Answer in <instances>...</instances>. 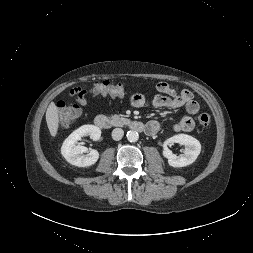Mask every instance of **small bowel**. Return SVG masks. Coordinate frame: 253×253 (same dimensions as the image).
I'll return each instance as SVG.
<instances>
[{"instance_id":"1","label":"small bowel","mask_w":253,"mask_h":253,"mask_svg":"<svg viewBox=\"0 0 253 253\" xmlns=\"http://www.w3.org/2000/svg\"><path fill=\"white\" fill-rule=\"evenodd\" d=\"M155 88L158 94L152 98H148L140 92L134 93L131 96L132 105L138 108L152 105L156 108L170 110L185 107L187 114L178 122H175L172 128L175 132H191L195 127L194 120L191 116L197 114L200 109L199 103L194 100L192 92L187 89L176 91L166 82H159ZM71 95L77 103L82 106L86 105L87 93L85 90L75 89L71 92ZM147 127V133L154 134L159 130L160 125L157 121H150L147 123Z\"/></svg>"}]
</instances>
